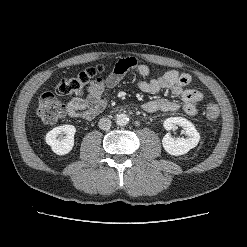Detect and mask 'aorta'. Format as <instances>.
Here are the masks:
<instances>
[{"label":"aorta","instance_id":"1","mask_svg":"<svg viewBox=\"0 0 247 247\" xmlns=\"http://www.w3.org/2000/svg\"><path fill=\"white\" fill-rule=\"evenodd\" d=\"M115 120H116L115 121L116 124L119 125V126H125L129 122V118H128V116L125 113L117 114Z\"/></svg>","mask_w":247,"mask_h":247}]
</instances>
